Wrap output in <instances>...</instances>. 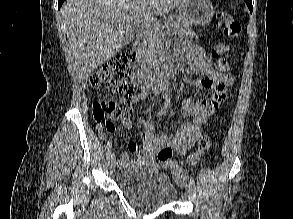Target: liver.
I'll use <instances>...</instances> for the list:
<instances>
[{
	"mask_svg": "<svg viewBox=\"0 0 293 219\" xmlns=\"http://www.w3.org/2000/svg\"><path fill=\"white\" fill-rule=\"evenodd\" d=\"M183 1L66 0L61 14L79 78L85 80L128 43L130 33L123 34V30L147 27Z\"/></svg>",
	"mask_w": 293,
	"mask_h": 219,
	"instance_id": "1",
	"label": "liver"
}]
</instances>
